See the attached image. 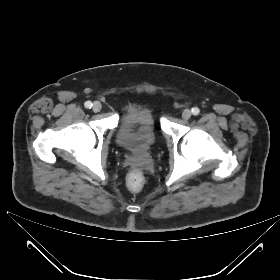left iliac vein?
I'll return each instance as SVG.
<instances>
[{
    "instance_id": "left-iliac-vein-1",
    "label": "left iliac vein",
    "mask_w": 280,
    "mask_h": 280,
    "mask_svg": "<svg viewBox=\"0 0 280 280\" xmlns=\"http://www.w3.org/2000/svg\"><path fill=\"white\" fill-rule=\"evenodd\" d=\"M191 115H192V113H191V111H190L189 109H185V110L182 112V118H183L184 120L190 119Z\"/></svg>"
}]
</instances>
